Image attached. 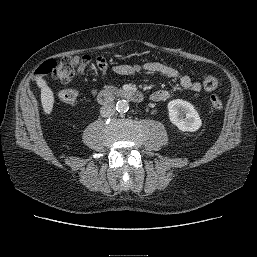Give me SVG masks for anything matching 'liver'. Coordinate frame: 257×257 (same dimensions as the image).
<instances>
[{"label": "liver", "instance_id": "obj_1", "mask_svg": "<svg viewBox=\"0 0 257 257\" xmlns=\"http://www.w3.org/2000/svg\"><path fill=\"white\" fill-rule=\"evenodd\" d=\"M37 85L41 89V103L46 114H50L54 105V94L47 82L41 77L36 78Z\"/></svg>", "mask_w": 257, "mask_h": 257}]
</instances>
